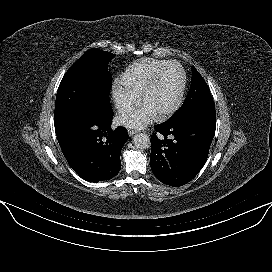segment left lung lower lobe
Instances as JSON below:
<instances>
[{"mask_svg":"<svg viewBox=\"0 0 272 272\" xmlns=\"http://www.w3.org/2000/svg\"><path fill=\"white\" fill-rule=\"evenodd\" d=\"M215 129V113L155 126L161 134L151 136L150 166L155 177L173 187L191 181L207 160Z\"/></svg>","mask_w":272,"mask_h":272,"instance_id":"left-lung-lower-lobe-1","label":"left lung lower lobe"}]
</instances>
